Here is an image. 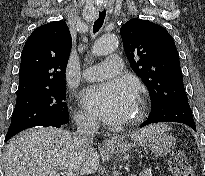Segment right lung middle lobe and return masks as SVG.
<instances>
[{
	"mask_svg": "<svg viewBox=\"0 0 205 176\" xmlns=\"http://www.w3.org/2000/svg\"><path fill=\"white\" fill-rule=\"evenodd\" d=\"M65 84L17 94L15 109L5 141L24 129L69 120Z\"/></svg>",
	"mask_w": 205,
	"mask_h": 176,
	"instance_id": "dd1d6c3e",
	"label": "right lung middle lobe"
}]
</instances>
